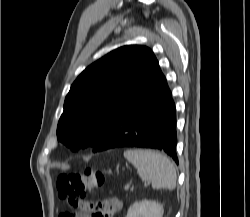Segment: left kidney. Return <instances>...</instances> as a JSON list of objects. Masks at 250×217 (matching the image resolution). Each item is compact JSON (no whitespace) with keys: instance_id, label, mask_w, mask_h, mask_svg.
<instances>
[{"instance_id":"left-kidney-1","label":"left kidney","mask_w":250,"mask_h":217,"mask_svg":"<svg viewBox=\"0 0 250 217\" xmlns=\"http://www.w3.org/2000/svg\"><path fill=\"white\" fill-rule=\"evenodd\" d=\"M163 205L151 200L133 203L128 209L126 217H162Z\"/></svg>"}]
</instances>
